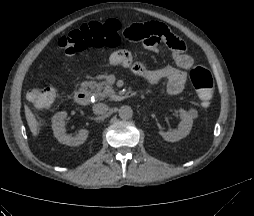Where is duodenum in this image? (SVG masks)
I'll use <instances>...</instances> for the list:
<instances>
[{"instance_id":"duodenum-1","label":"duodenum","mask_w":254,"mask_h":216,"mask_svg":"<svg viewBox=\"0 0 254 216\" xmlns=\"http://www.w3.org/2000/svg\"><path fill=\"white\" fill-rule=\"evenodd\" d=\"M137 93L135 91H129L125 95L135 96ZM75 101L80 105H87L90 101L89 93L84 89H79L75 92ZM123 95H114L113 99L119 100L122 99Z\"/></svg>"}]
</instances>
